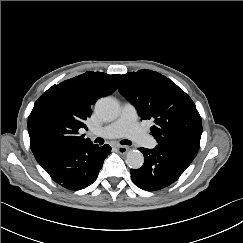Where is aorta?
<instances>
[{"label":"aorta","instance_id":"762f6f07","mask_svg":"<svg viewBox=\"0 0 243 243\" xmlns=\"http://www.w3.org/2000/svg\"><path fill=\"white\" fill-rule=\"evenodd\" d=\"M95 112L103 121H112L119 115V104L111 97H104L96 102ZM125 161L131 169H139L144 163V156L139 150L133 149L127 152Z\"/></svg>","mask_w":243,"mask_h":243}]
</instances>
